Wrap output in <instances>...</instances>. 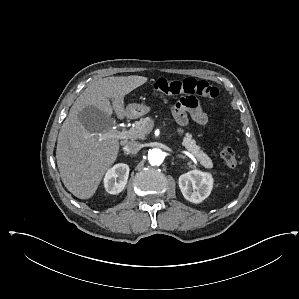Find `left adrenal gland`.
Returning <instances> with one entry per match:
<instances>
[{
  "label": "left adrenal gland",
  "mask_w": 299,
  "mask_h": 299,
  "mask_svg": "<svg viewBox=\"0 0 299 299\" xmlns=\"http://www.w3.org/2000/svg\"><path fill=\"white\" fill-rule=\"evenodd\" d=\"M179 158H182V159H184V157L183 156H178Z\"/></svg>",
  "instance_id": "a2214340"
}]
</instances>
